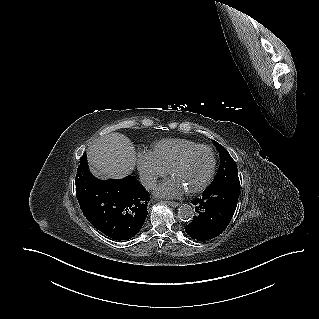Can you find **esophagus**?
Returning a JSON list of instances; mask_svg holds the SVG:
<instances>
[{
	"label": "esophagus",
	"instance_id": "34e87169",
	"mask_svg": "<svg viewBox=\"0 0 319 319\" xmlns=\"http://www.w3.org/2000/svg\"><path fill=\"white\" fill-rule=\"evenodd\" d=\"M168 205L172 206V207H177L179 206L178 202H174V201H165Z\"/></svg>",
	"mask_w": 319,
	"mask_h": 319
}]
</instances>
